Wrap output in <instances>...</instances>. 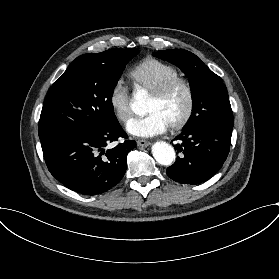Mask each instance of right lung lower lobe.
<instances>
[{"label": "right lung lower lobe", "mask_w": 279, "mask_h": 279, "mask_svg": "<svg viewBox=\"0 0 279 279\" xmlns=\"http://www.w3.org/2000/svg\"><path fill=\"white\" fill-rule=\"evenodd\" d=\"M120 137L127 139L119 122L70 135L43 150L44 159L53 177L67 188L82 195H98L121 181L127 153L136 146L134 140H125L105 151L107 144Z\"/></svg>", "instance_id": "obj_1"}]
</instances>
